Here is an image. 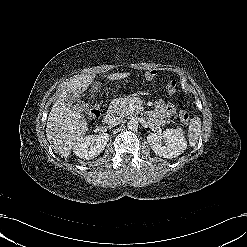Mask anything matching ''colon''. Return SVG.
<instances>
[{"mask_svg":"<svg viewBox=\"0 0 247 247\" xmlns=\"http://www.w3.org/2000/svg\"><path fill=\"white\" fill-rule=\"evenodd\" d=\"M176 90H177V83L175 80L168 81L164 87V91L167 95L175 94ZM99 115H100V109L96 106L92 107L87 113V117L90 121H94L96 118L99 117ZM178 117L180 121L183 123H188L190 121V113L184 107L179 108Z\"/></svg>","mask_w":247,"mask_h":247,"instance_id":"colon-1","label":"colon"}]
</instances>
